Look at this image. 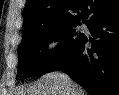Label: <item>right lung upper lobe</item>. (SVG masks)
<instances>
[{"instance_id": "right-lung-upper-lobe-1", "label": "right lung upper lobe", "mask_w": 119, "mask_h": 95, "mask_svg": "<svg viewBox=\"0 0 119 95\" xmlns=\"http://www.w3.org/2000/svg\"><path fill=\"white\" fill-rule=\"evenodd\" d=\"M119 12V0H27L23 35L32 29L63 22L90 24Z\"/></svg>"}]
</instances>
